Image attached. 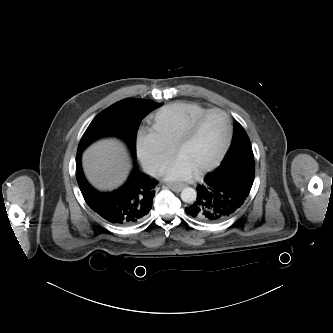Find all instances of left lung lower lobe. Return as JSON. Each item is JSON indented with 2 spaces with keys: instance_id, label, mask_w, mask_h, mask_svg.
Masks as SVG:
<instances>
[{
  "instance_id": "left-lung-lower-lobe-1",
  "label": "left lung lower lobe",
  "mask_w": 333,
  "mask_h": 333,
  "mask_svg": "<svg viewBox=\"0 0 333 333\" xmlns=\"http://www.w3.org/2000/svg\"><path fill=\"white\" fill-rule=\"evenodd\" d=\"M255 177V162L235 161L207 175L196 188L197 199L185 208L200 222H219L235 213L244 203Z\"/></svg>"
}]
</instances>
